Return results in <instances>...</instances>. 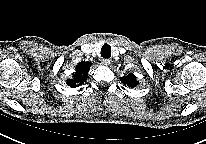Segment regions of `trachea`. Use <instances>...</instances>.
I'll use <instances>...</instances> for the list:
<instances>
[{
	"mask_svg": "<svg viewBox=\"0 0 206 144\" xmlns=\"http://www.w3.org/2000/svg\"><path fill=\"white\" fill-rule=\"evenodd\" d=\"M101 56L103 58H110L111 57V46L109 44H104L101 48Z\"/></svg>",
	"mask_w": 206,
	"mask_h": 144,
	"instance_id": "obj_1",
	"label": "trachea"
}]
</instances>
